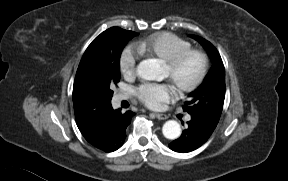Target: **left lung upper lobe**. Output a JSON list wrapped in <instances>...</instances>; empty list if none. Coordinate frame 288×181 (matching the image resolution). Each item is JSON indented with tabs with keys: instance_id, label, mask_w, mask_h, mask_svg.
Returning a JSON list of instances; mask_svg holds the SVG:
<instances>
[{
	"instance_id": "5c2ea615",
	"label": "left lung upper lobe",
	"mask_w": 288,
	"mask_h": 181,
	"mask_svg": "<svg viewBox=\"0 0 288 181\" xmlns=\"http://www.w3.org/2000/svg\"><path fill=\"white\" fill-rule=\"evenodd\" d=\"M197 40L213 60V66L201 87L190 93V100L185 102L183 110L189 114H201L216 122L222 113L225 98V69L217 49L207 40L196 36Z\"/></svg>"
}]
</instances>
